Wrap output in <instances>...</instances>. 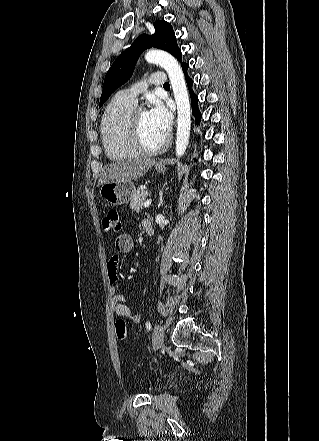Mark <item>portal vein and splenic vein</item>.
I'll use <instances>...</instances> for the list:
<instances>
[{"mask_svg":"<svg viewBox=\"0 0 319 441\" xmlns=\"http://www.w3.org/2000/svg\"><path fill=\"white\" fill-rule=\"evenodd\" d=\"M151 202H152V200L151 199H148V200H146V202H144V207H149L150 206V204H151Z\"/></svg>","mask_w":319,"mask_h":441,"instance_id":"1","label":"portal vein and splenic vein"}]
</instances>
